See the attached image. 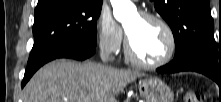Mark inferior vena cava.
I'll return each mask as SVG.
<instances>
[{
	"label": "inferior vena cava",
	"mask_w": 221,
	"mask_h": 102,
	"mask_svg": "<svg viewBox=\"0 0 221 102\" xmlns=\"http://www.w3.org/2000/svg\"><path fill=\"white\" fill-rule=\"evenodd\" d=\"M111 49L110 46L105 42L101 46L100 57L102 62H107L110 59Z\"/></svg>",
	"instance_id": "602c4592"
}]
</instances>
